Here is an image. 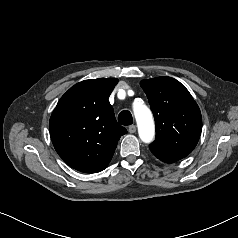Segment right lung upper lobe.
Masks as SVG:
<instances>
[{"label":"right lung upper lobe","instance_id":"obj_1","mask_svg":"<svg viewBox=\"0 0 238 238\" xmlns=\"http://www.w3.org/2000/svg\"><path fill=\"white\" fill-rule=\"evenodd\" d=\"M117 79L84 80L59 100L50 122V136L59 156L72 168L97 173L106 168L120 137L127 133L108 98Z\"/></svg>","mask_w":238,"mask_h":238}]
</instances>
